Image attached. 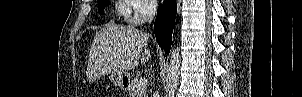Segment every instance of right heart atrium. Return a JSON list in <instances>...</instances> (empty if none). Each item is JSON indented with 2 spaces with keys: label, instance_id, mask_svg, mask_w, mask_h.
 I'll return each instance as SVG.
<instances>
[{
  "label": "right heart atrium",
  "instance_id": "right-heart-atrium-1",
  "mask_svg": "<svg viewBox=\"0 0 302 97\" xmlns=\"http://www.w3.org/2000/svg\"><path fill=\"white\" fill-rule=\"evenodd\" d=\"M133 5L132 11L127 15L126 20L134 25L144 23L154 14V3L145 0H128Z\"/></svg>",
  "mask_w": 302,
  "mask_h": 97
}]
</instances>
